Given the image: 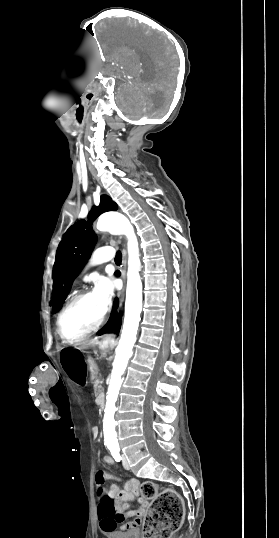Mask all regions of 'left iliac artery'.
I'll list each match as a JSON object with an SVG mask.
<instances>
[{"instance_id":"obj_1","label":"left iliac artery","mask_w":279,"mask_h":538,"mask_svg":"<svg viewBox=\"0 0 279 538\" xmlns=\"http://www.w3.org/2000/svg\"><path fill=\"white\" fill-rule=\"evenodd\" d=\"M111 454H112L113 458H114L117 462L121 461V456H120V453H119V449H112V450H111Z\"/></svg>"}]
</instances>
